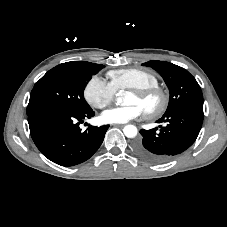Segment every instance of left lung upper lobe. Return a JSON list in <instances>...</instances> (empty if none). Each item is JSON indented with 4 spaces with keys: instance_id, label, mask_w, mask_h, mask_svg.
I'll use <instances>...</instances> for the list:
<instances>
[{
    "instance_id": "5c2ea615",
    "label": "left lung upper lobe",
    "mask_w": 227,
    "mask_h": 227,
    "mask_svg": "<svg viewBox=\"0 0 227 227\" xmlns=\"http://www.w3.org/2000/svg\"><path fill=\"white\" fill-rule=\"evenodd\" d=\"M142 66L156 70L170 90L169 104L165 114L183 108L203 109L201 88L187 70L165 61H148Z\"/></svg>"
}]
</instances>
